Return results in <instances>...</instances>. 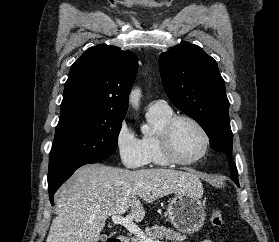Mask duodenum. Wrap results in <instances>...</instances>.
Instances as JSON below:
<instances>
[{"mask_svg":"<svg viewBox=\"0 0 279 242\" xmlns=\"http://www.w3.org/2000/svg\"><path fill=\"white\" fill-rule=\"evenodd\" d=\"M115 242H129V239L125 236H118Z\"/></svg>","mask_w":279,"mask_h":242,"instance_id":"1","label":"duodenum"}]
</instances>
